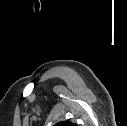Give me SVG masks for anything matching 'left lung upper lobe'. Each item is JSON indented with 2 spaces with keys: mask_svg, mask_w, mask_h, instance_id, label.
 I'll use <instances>...</instances> for the list:
<instances>
[{
  "mask_svg": "<svg viewBox=\"0 0 127 126\" xmlns=\"http://www.w3.org/2000/svg\"><path fill=\"white\" fill-rule=\"evenodd\" d=\"M55 126H75V124L69 121H64V122L57 123Z\"/></svg>",
  "mask_w": 127,
  "mask_h": 126,
  "instance_id": "1",
  "label": "left lung upper lobe"
}]
</instances>
